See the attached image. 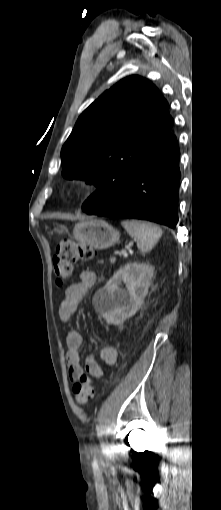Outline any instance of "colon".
<instances>
[{"mask_svg":"<svg viewBox=\"0 0 221 510\" xmlns=\"http://www.w3.org/2000/svg\"><path fill=\"white\" fill-rule=\"evenodd\" d=\"M94 252L90 246L83 242L70 240L61 241L56 249L53 258L54 272L57 277V284L63 285L72 277L74 266L79 261L92 259ZM73 392L79 404L87 403L94 394L91 379L82 373L73 384Z\"/></svg>","mask_w":221,"mask_h":510,"instance_id":"obj_1","label":"colon"}]
</instances>
